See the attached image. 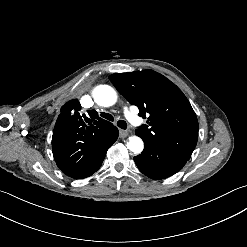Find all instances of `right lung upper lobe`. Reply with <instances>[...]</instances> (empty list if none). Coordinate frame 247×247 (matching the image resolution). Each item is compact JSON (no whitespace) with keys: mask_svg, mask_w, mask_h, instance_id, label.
Listing matches in <instances>:
<instances>
[{"mask_svg":"<svg viewBox=\"0 0 247 247\" xmlns=\"http://www.w3.org/2000/svg\"><path fill=\"white\" fill-rule=\"evenodd\" d=\"M81 105L78 99L67 102L61 108V113L57 118L53 138H59L62 135H70L73 145H70L72 151L70 154L84 149L81 154L91 150L93 146L104 144L109 141L118 129L110 122L100 119L95 110L89 111L92 119L78 112ZM97 118L99 121L95 120Z\"/></svg>","mask_w":247,"mask_h":247,"instance_id":"1","label":"right lung upper lobe"}]
</instances>
